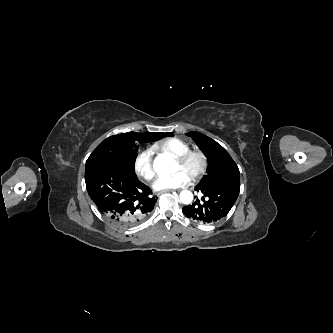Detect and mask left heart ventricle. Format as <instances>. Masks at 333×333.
Returning <instances> with one entry per match:
<instances>
[{"label":"left heart ventricle","mask_w":333,"mask_h":333,"mask_svg":"<svg viewBox=\"0 0 333 333\" xmlns=\"http://www.w3.org/2000/svg\"><path fill=\"white\" fill-rule=\"evenodd\" d=\"M200 162L197 158L191 159L186 165H180L176 162L175 170H181L185 172L189 177L197 172L199 169Z\"/></svg>","instance_id":"1"}]
</instances>
